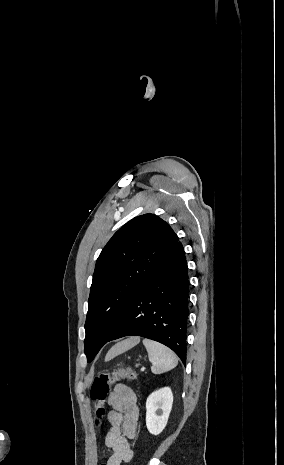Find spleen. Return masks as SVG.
I'll list each match as a JSON object with an SVG mask.
<instances>
[{"label": "spleen", "instance_id": "1", "mask_svg": "<svg viewBox=\"0 0 284 465\" xmlns=\"http://www.w3.org/2000/svg\"><path fill=\"white\" fill-rule=\"evenodd\" d=\"M143 345L147 349L149 361L152 363L151 371L154 375L166 373V371H171L177 367L178 357L168 347H164L156 341H149V339H144Z\"/></svg>", "mask_w": 284, "mask_h": 465}]
</instances>
